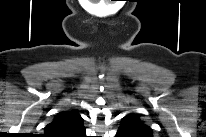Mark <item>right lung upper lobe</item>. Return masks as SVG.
I'll list each match as a JSON object with an SVG mask.
<instances>
[{
  "mask_svg": "<svg viewBox=\"0 0 206 137\" xmlns=\"http://www.w3.org/2000/svg\"><path fill=\"white\" fill-rule=\"evenodd\" d=\"M47 137H83V119L76 110L62 111L45 127Z\"/></svg>",
  "mask_w": 206,
  "mask_h": 137,
  "instance_id": "cb5924a9",
  "label": "right lung upper lobe"
}]
</instances>
